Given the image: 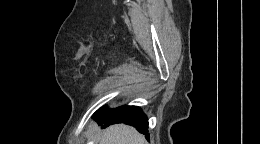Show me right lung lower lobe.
<instances>
[{"mask_svg":"<svg viewBox=\"0 0 260 144\" xmlns=\"http://www.w3.org/2000/svg\"><path fill=\"white\" fill-rule=\"evenodd\" d=\"M93 118L100 119L98 123L102 125V128L116 123H125L134 126L140 133L148 134V119L137 106L126 105L116 109L104 107L98 110ZM146 137L148 138V135Z\"/></svg>","mask_w":260,"mask_h":144,"instance_id":"1","label":"right lung lower lobe"}]
</instances>
